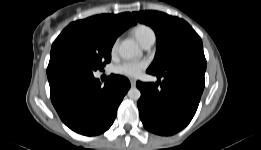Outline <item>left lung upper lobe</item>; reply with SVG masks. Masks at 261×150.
I'll use <instances>...</instances> for the list:
<instances>
[{"instance_id": "1", "label": "left lung upper lobe", "mask_w": 261, "mask_h": 150, "mask_svg": "<svg viewBox=\"0 0 261 150\" xmlns=\"http://www.w3.org/2000/svg\"><path fill=\"white\" fill-rule=\"evenodd\" d=\"M133 16L156 34V54L148 70L163 72L185 56L205 57L201 38L183 19L157 11L133 12Z\"/></svg>"}]
</instances>
